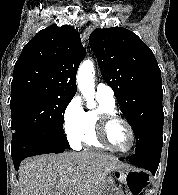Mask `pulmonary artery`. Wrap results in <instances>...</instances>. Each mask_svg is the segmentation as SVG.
<instances>
[{"mask_svg":"<svg viewBox=\"0 0 178 195\" xmlns=\"http://www.w3.org/2000/svg\"><path fill=\"white\" fill-rule=\"evenodd\" d=\"M96 96L105 99L110 103H115L113 89L105 83H100L96 87Z\"/></svg>","mask_w":178,"mask_h":195,"instance_id":"pulmonary-artery-1","label":"pulmonary artery"}]
</instances>
